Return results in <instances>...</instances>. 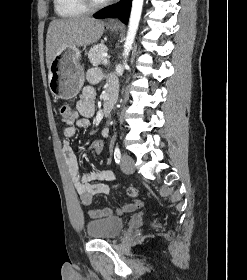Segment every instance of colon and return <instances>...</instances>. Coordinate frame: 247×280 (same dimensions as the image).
<instances>
[{"instance_id":"5ec220e1","label":"colon","mask_w":247,"mask_h":280,"mask_svg":"<svg viewBox=\"0 0 247 280\" xmlns=\"http://www.w3.org/2000/svg\"><path fill=\"white\" fill-rule=\"evenodd\" d=\"M60 118L63 123L67 125H72L77 120V112L73 107L67 104H63L59 107ZM104 146V138L102 136H95L93 141L89 144L87 148L88 154L91 156H97L102 152ZM127 193L131 197L137 196V189L134 187H129Z\"/></svg>"}]
</instances>
